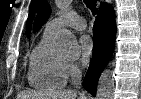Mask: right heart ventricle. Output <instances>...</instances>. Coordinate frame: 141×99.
I'll list each match as a JSON object with an SVG mask.
<instances>
[{"instance_id": "e07e8e85", "label": "right heart ventricle", "mask_w": 141, "mask_h": 99, "mask_svg": "<svg viewBox=\"0 0 141 99\" xmlns=\"http://www.w3.org/2000/svg\"><path fill=\"white\" fill-rule=\"evenodd\" d=\"M53 35L44 31L41 40L31 53L27 80L35 89L55 90L62 88L66 83V61L51 50Z\"/></svg>"}]
</instances>
